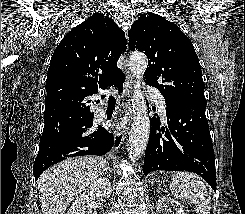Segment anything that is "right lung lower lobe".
<instances>
[{
	"label": "right lung lower lobe",
	"mask_w": 245,
	"mask_h": 214,
	"mask_svg": "<svg viewBox=\"0 0 245 214\" xmlns=\"http://www.w3.org/2000/svg\"><path fill=\"white\" fill-rule=\"evenodd\" d=\"M124 81L123 76L113 85L122 92ZM56 100L60 105L66 103L62 98ZM93 116L88 105L72 114H59L44 121L39 152L33 167L36 180L45 169L66 158L104 155L111 150L114 145L113 135L102 126H93Z\"/></svg>",
	"instance_id": "98d812e1"
}]
</instances>
